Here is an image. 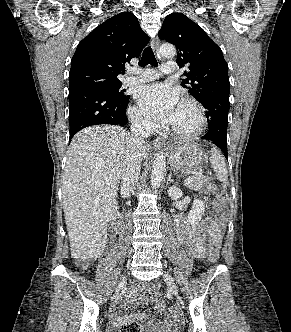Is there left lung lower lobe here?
<instances>
[{
    "label": "left lung lower lobe",
    "mask_w": 291,
    "mask_h": 332,
    "mask_svg": "<svg viewBox=\"0 0 291 332\" xmlns=\"http://www.w3.org/2000/svg\"><path fill=\"white\" fill-rule=\"evenodd\" d=\"M202 105L207 109L206 116L208 117L209 125V131L202 138L211 141L219 147L228 159L226 134L229 98L220 96L212 97Z\"/></svg>",
    "instance_id": "0a47b994"
}]
</instances>
